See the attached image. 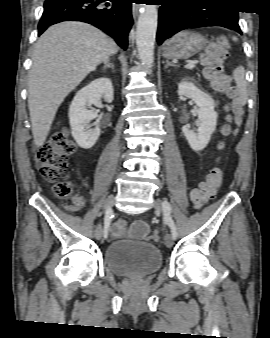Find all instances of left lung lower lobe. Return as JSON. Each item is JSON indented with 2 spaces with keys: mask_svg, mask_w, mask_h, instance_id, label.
<instances>
[{
  "mask_svg": "<svg viewBox=\"0 0 270 338\" xmlns=\"http://www.w3.org/2000/svg\"><path fill=\"white\" fill-rule=\"evenodd\" d=\"M160 7L157 42L193 27L221 26L242 34L238 11L225 9L223 0H164Z\"/></svg>",
  "mask_w": 270,
  "mask_h": 338,
  "instance_id": "left-lung-lower-lobe-1",
  "label": "left lung lower lobe"
}]
</instances>
